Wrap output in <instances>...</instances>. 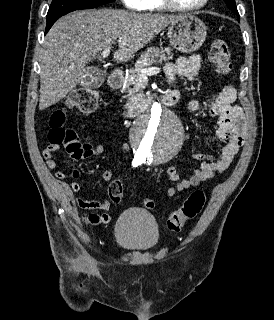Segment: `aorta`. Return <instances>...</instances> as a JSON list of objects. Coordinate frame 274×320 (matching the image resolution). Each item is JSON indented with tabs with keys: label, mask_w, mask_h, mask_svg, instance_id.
<instances>
[{
	"label": "aorta",
	"mask_w": 274,
	"mask_h": 320,
	"mask_svg": "<svg viewBox=\"0 0 274 320\" xmlns=\"http://www.w3.org/2000/svg\"><path fill=\"white\" fill-rule=\"evenodd\" d=\"M184 130L177 116L154 103L148 115L136 120L131 130V142L136 155L154 163L171 160L181 149Z\"/></svg>",
	"instance_id": "1"
}]
</instances>
